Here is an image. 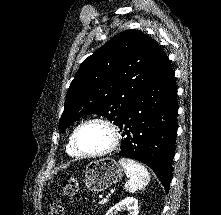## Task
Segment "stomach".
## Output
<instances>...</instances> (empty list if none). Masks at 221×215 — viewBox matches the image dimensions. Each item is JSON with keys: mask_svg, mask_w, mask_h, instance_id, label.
<instances>
[{"mask_svg": "<svg viewBox=\"0 0 221 215\" xmlns=\"http://www.w3.org/2000/svg\"><path fill=\"white\" fill-rule=\"evenodd\" d=\"M123 176L121 165L113 159L105 158L91 162L84 171V182L88 190L101 192L119 182Z\"/></svg>", "mask_w": 221, "mask_h": 215, "instance_id": "0dacf381", "label": "stomach"}]
</instances>
